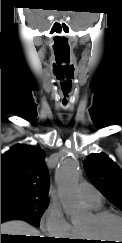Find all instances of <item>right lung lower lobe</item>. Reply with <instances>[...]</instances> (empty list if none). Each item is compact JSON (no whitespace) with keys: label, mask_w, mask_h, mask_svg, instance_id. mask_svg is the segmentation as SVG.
<instances>
[{"label":"right lung lower lobe","mask_w":122,"mask_h":243,"mask_svg":"<svg viewBox=\"0 0 122 243\" xmlns=\"http://www.w3.org/2000/svg\"><path fill=\"white\" fill-rule=\"evenodd\" d=\"M12 219L23 220V221H26V222L32 224L33 226L39 227V224H37L31 217H29L26 214L17 213V212L1 211V223L8 221V220H12ZM40 242L52 243V241L49 240L48 238H43L42 240H40Z\"/></svg>","instance_id":"right-lung-lower-lobe-1"}]
</instances>
